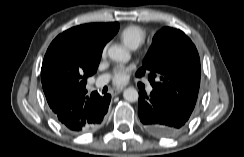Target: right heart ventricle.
Wrapping results in <instances>:
<instances>
[{
  "instance_id": "obj_1",
  "label": "right heart ventricle",
  "mask_w": 244,
  "mask_h": 157,
  "mask_svg": "<svg viewBox=\"0 0 244 157\" xmlns=\"http://www.w3.org/2000/svg\"><path fill=\"white\" fill-rule=\"evenodd\" d=\"M122 42L129 48L135 49L146 39V31L138 25H128L119 34Z\"/></svg>"
}]
</instances>
